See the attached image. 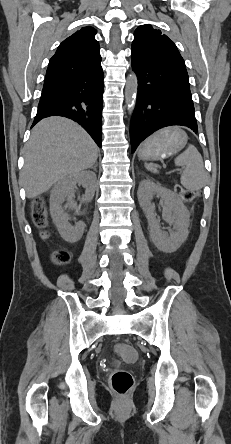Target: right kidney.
I'll use <instances>...</instances> for the list:
<instances>
[{"label": "right kidney", "mask_w": 231, "mask_h": 444, "mask_svg": "<svg viewBox=\"0 0 231 444\" xmlns=\"http://www.w3.org/2000/svg\"><path fill=\"white\" fill-rule=\"evenodd\" d=\"M77 183L85 188V195H83L82 200L84 202L91 201L95 193L96 184V175L91 171H81L67 176L59 181L50 193V213L52 219L63 239L68 242L78 241L82 237L85 229V223L83 221L71 225L68 222L69 216L62 206V204L67 201L65 208L78 209L76 203L72 200L74 188Z\"/></svg>", "instance_id": "obj_1"}]
</instances>
